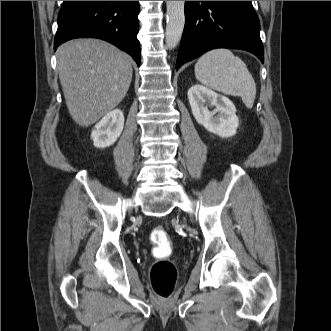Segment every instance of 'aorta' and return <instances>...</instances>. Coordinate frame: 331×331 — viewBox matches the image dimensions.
I'll use <instances>...</instances> for the list:
<instances>
[{"instance_id":"aorta-1","label":"aorta","mask_w":331,"mask_h":331,"mask_svg":"<svg viewBox=\"0 0 331 331\" xmlns=\"http://www.w3.org/2000/svg\"><path fill=\"white\" fill-rule=\"evenodd\" d=\"M166 5L167 25L165 42L169 49H173L178 45L182 37L185 25V1H166Z\"/></svg>"}]
</instances>
